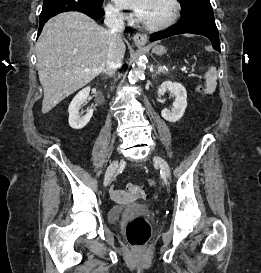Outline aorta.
Instances as JSON below:
<instances>
[{
    "label": "aorta",
    "mask_w": 261,
    "mask_h": 273,
    "mask_svg": "<svg viewBox=\"0 0 261 273\" xmlns=\"http://www.w3.org/2000/svg\"><path fill=\"white\" fill-rule=\"evenodd\" d=\"M145 63H146L145 57L142 56L138 58V60L136 61V65L130 71L129 74L130 82H136L144 74Z\"/></svg>",
    "instance_id": "obj_1"
}]
</instances>
